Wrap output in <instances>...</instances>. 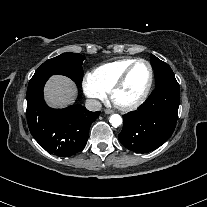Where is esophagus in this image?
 Masks as SVG:
<instances>
[{"mask_svg": "<svg viewBox=\"0 0 207 207\" xmlns=\"http://www.w3.org/2000/svg\"><path fill=\"white\" fill-rule=\"evenodd\" d=\"M105 113H106V114H112L113 111H112V110H109V109H106V110H105Z\"/></svg>", "mask_w": 207, "mask_h": 207, "instance_id": "34e87169", "label": "esophagus"}]
</instances>
